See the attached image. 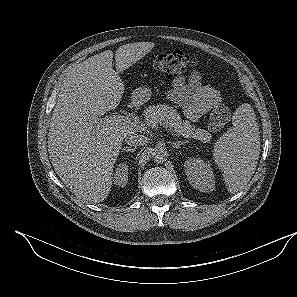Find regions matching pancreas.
Returning a JSON list of instances; mask_svg holds the SVG:
<instances>
[{"instance_id":"obj_1","label":"pancreas","mask_w":297,"mask_h":297,"mask_svg":"<svg viewBox=\"0 0 297 297\" xmlns=\"http://www.w3.org/2000/svg\"><path fill=\"white\" fill-rule=\"evenodd\" d=\"M144 116L145 123L149 127L162 123L172 129L177 136L197 139L204 143H208L211 140V134L208 131L196 128L189 121L182 120L176 109L169 105L158 104L157 106H149L144 111Z\"/></svg>"}]
</instances>
